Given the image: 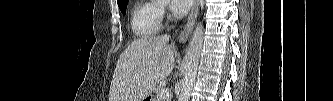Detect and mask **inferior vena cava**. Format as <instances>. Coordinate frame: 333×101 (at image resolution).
I'll return each instance as SVG.
<instances>
[{"instance_id": "obj_1", "label": "inferior vena cava", "mask_w": 333, "mask_h": 101, "mask_svg": "<svg viewBox=\"0 0 333 101\" xmlns=\"http://www.w3.org/2000/svg\"><path fill=\"white\" fill-rule=\"evenodd\" d=\"M162 38H163V39H168L169 36H168L167 34H165V35L162 36Z\"/></svg>"}]
</instances>
